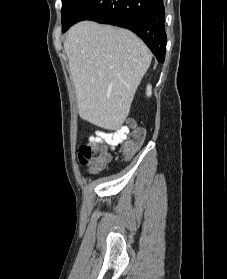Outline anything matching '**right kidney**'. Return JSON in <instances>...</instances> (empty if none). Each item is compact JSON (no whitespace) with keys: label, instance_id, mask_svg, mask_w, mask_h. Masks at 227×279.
I'll list each match as a JSON object with an SVG mask.
<instances>
[{"label":"right kidney","instance_id":"obj_1","mask_svg":"<svg viewBox=\"0 0 227 279\" xmlns=\"http://www.w3.org/2000/svg\"><path fill=\"white\" fill-rule=\"evenodd\" d=\"M152 87L150 85L147 86V96H150L152 91H151Z\"/></svg>","mask_w":227,"mask_h":279}]
</instances>
